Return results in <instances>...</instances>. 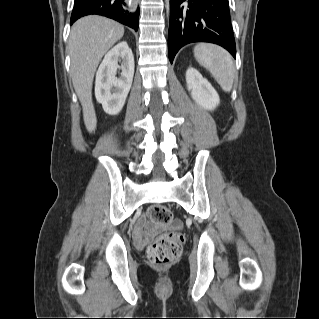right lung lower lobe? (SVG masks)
I'll use <instances>...</instances> for the list:
<instances>
[{
    "label": "right lung lower lobe",
    "instance_id": "right-lung-lower-lobe-1",
    "mask_svg": "<svg viewBox=\"0 0 319 319\" xmlns=\"http://www.w3.org/2000/svg\"><path fill=\"white\" fill-rule=\"evenodd\" d=\"M125 0H75L71 15V24L87 15H102L138 30L140 10L131 13L125 10Z\"/></svg>",
    "mask_w": 319,
    "mask_h": 319
}]
</instances>
